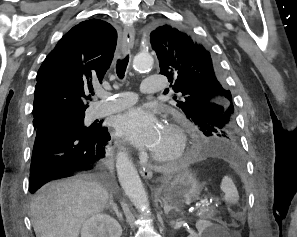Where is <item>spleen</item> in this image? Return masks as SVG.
Masks as SVG:
<instances>
[{"mask_svg": "<svg viewBox=\"0 0 297 237\" xmlns=\"http://www.w3.org/2000/svg\"><path fill=\"white\" fill-rule=\"evenodd\" d=\"M220 189L224 192L225 198L229 203H236L239 199L238 191L232 179L225 176L222 179Z\"/></svg>", "mask_w": 297, "mask_h": 237, "instance_id": "3e777b00", "label": "spleen"}]
</instances>
